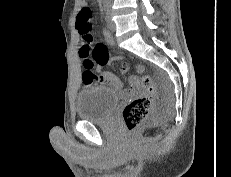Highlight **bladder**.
<instances>
[{
	"instance_id": "1",
	"label": "bladder",
	"mask_w": 231,
	"mask_h": 177,
	"mask_svg": "<svg viewBox=\"0 0 231 177\" xmlns=\"http://www.w3.org/2000/svg\"><path fill=\"white\" fill-rule=\"evenodd\" d=\"M119 97L115 91L96 86L81 91L77 96L76 113L84 121H104L117 106Z\"/></svg>"
}]
</instances>
